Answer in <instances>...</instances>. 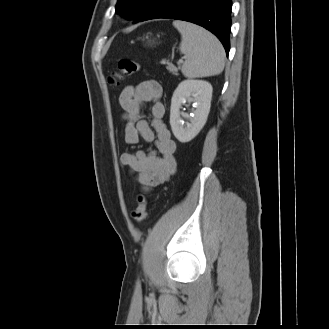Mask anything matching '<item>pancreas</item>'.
Masks as SVG:
<instances>
[{
    "label": "pancreas",
    "instance_id": "obj_1",
    "mask_svg": "<svg viewBox=\"0 0 329 329\" xmlns=\"http://www.w3.org/2000/svg\"><path fill=\"white\" fill-rule=\"evenodd\" d=\"M178 69L179 68L175 67L171 63H169L168 66H167V70H169V72H171L174 75H178Z\"/></svg>",
    "mask_w": 329,
    "mask_h": 329
}]
</instances>
